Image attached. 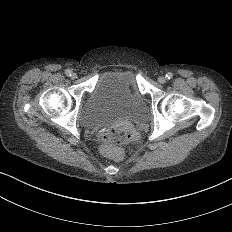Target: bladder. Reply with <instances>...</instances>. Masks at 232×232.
<instances>
[{
  "label": "bladder",
  "instance_id": "1",
  "mask_svg": "<svg viewBox=\"0 0 232 232\" xmlns=\"http://www.w3.org/2000/svg\"><path fill=\"white\" fill-rule=\"evenodd\" d=\"M148 106L130 71H106L95 82L79 111L81 125L90 130L121 122H143Z\"/></svg>",
  "mask_w": 232,
  "mask_h": 232
}]
</instances>
